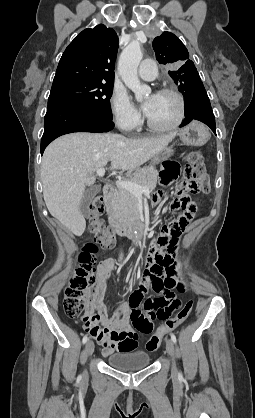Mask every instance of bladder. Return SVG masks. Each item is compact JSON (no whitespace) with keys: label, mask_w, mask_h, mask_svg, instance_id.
<instances>
[{"label":"bladder","mask_w":255,"mask_h":418,"mask_svg":"<svg viewBox=\"0 0 255 418\" xmlns=\"http://www.w3.org/2000/svg\"><path fill=\"white\" fill-rule=\"evenodd\" d=\"M151 362L150 354L146 351H135L113 354L107 358V363L118 370L134 371L147 367Z\"/></svg>","instance_id":"31cf9c89"}]
</instances>
